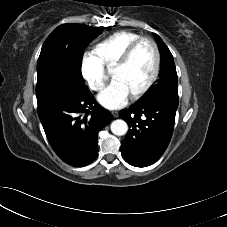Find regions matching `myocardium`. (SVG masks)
<instances>
[{"instance_id":"obj_1","label":"myocardium","mask_w":227,"mask_h":227,"mask_svg":"<svg viewBox=\"0 0 227 227\" xmlns=\"http://www.w3.org/2000/svg\"><path fill=\"white\" fill-rule=\"evenodd\" d=\"M144 42L149 43L154 50V54H155L154 70L151 77L147 81V83L140 90L131 94V98L134 100L144 96L152 88V86L155 84V82L159 77V73L161 69V53L157 43L150 37H140L136 39L126 48V50L124 51L120 59L113 66V69H119V68L125 67L131 60L138 46Z\"/></svg>"}]
</instances>
